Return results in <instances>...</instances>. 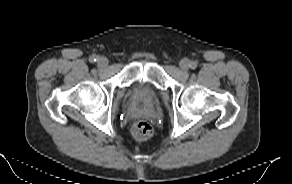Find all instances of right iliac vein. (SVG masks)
<instances>
[{"instance_id":"63e3f726","label":"right iliac vein","mask_w":292,"mask_h":184,"mask_svg":"<svg viewBox=\"0 0 292 184\" xmlns=\"http://www.w3.org/2000/svg\"><path fill=\"white\" fill-rule=\"evenodd\" d=\"M108 59L106 57H100L97 61V64L100 66V67H106L108 65Z\"/></svg>"}]
</instances>
